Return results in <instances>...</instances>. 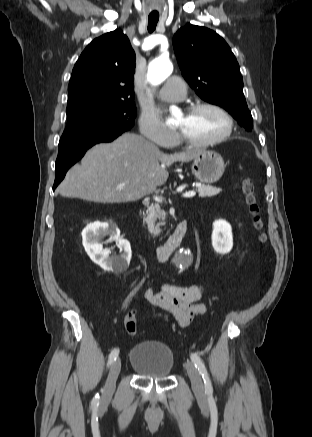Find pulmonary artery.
<instances>
[{
    "instance_id": "e3ab8cb5",
    "label": "pulmonary artery",
    "mask_w": 312,
    "mask_h": 437,
    "mask_svg": "<svg viewBox=\"0 0 312 437\" xmlns=\"http://www.w3.org/2000/svg\"><path fill=\"white\" fill-rule=\"evenodd\" d=\"M186 96V83L179 77L169 78L161 88L159 97L165 101H181Z\"/></svg>"
}]
</instances>
